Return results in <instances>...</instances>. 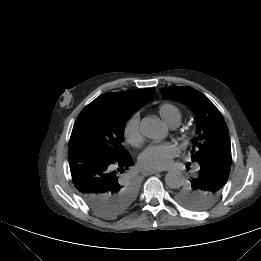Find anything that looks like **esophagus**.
I'll list each match as a JSON object with an SVG mask.
<instances>
[{
	"instance_id": "esophagus-1",
	"label": "esophagus",
	"mask_w": 261,
	"mask_h": 261,
	"mask_svg": "<svg viewBox=\"0 0 261 261\" xmlns=\"http://www.w3.org/2000/svg\"><path fill=\"white\" fill-rule=\"evenodd\" d=\"M161 171L162 170H157V169L145 170V171H143V175L148 176V175H152V174H155V173H159Z\"/></svg>"
}]
</instances>
